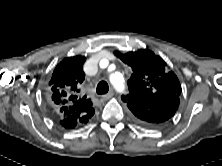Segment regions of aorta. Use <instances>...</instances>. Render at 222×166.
Returning a JSON list of instances; mask_svg holds the SVG:
<instances>
[{"label":"aorta","instance_id":"762f6f07","mask_svg":"<svg viewBox=\"0 0 222 166\" xmlns=\"http://www.w3.org/2000/svg\"><path fill=\"white\" fill-rule=\"evenodd\" d=\"M110 82L118 91L124 90V79L120 73L112 74L110 76Z\"/></svg>","mask_w":222,"mask_h":166}]
</instances>
